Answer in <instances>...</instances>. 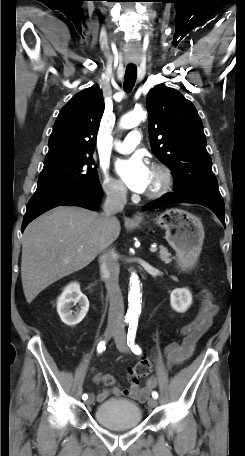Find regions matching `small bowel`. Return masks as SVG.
<instances>
[{
  "instance_id": "small-bowel-1",
  "label": "small bowel",
  "mask_w": 245,
  "mask_h": 456,
  "mask_svg": "<svg viewBox=\"0 0 245 456\" xmlns=\"http://www.w3.org/2000/svg\"><path fill=\"white\" fill-rule=\"evenodd\" d=\"M217 312L218 306L213 301L210 292L202 291L197 316L181 328V340L179 342H172L165 347V356L169 364L179 365L191 357L198 340L210 328ZM95 381L106 386V389L97 395L99 402L104 401L110 395L126 396L142 402L146 400L157 385V379L154 376L150 377L142 387L138 382L131 381L130 387L127 389L119 387L111 375H97Z\"/></svg>"
}]
</instances>
